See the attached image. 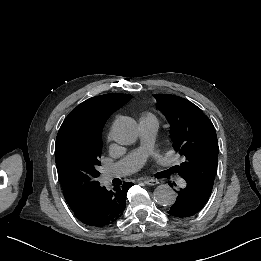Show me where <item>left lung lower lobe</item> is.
I'll return each mask as SVG.
<instances>
[{"label": "left lung lower lobe", "instance_id": "left-lung-lower-lobe-1", "mask_svg": "<svg viewBox=\"0 0 261 261\" xmlns=\"http://www.w3.org/2000/svg\"><path fill=\"white\" fill-rule=\"evenodd\" d=\"M182 178L185 186L178 191L176 202L168 210L170 215L178 218L190 217L201 211L213 187L195 176L185 175Z\"/></svg>", "mask_w": 261, "mask_h": 261}]
</instances>
